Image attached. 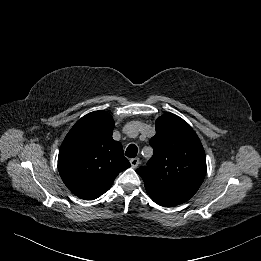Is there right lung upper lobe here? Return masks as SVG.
I'll return each instance as SVG.
<instances>
[{"label":"right lung upper lobe","instance_id":"cb5924a9","mask_svg":"<svg viewBox=\"0 0 261 261\" xmlns=\"http://www.w3.org/2000/svg\"><path fill=\"white\" fill-rule=\"evenodd\" d=\"M114 127L109 113L91 112L75 123L60 147V176L81 199L100 197L110 189L115 177L131 166L121 143L112 138Z\"/></svg>","mask_w":261,"mask_h":261}]
</instances>
